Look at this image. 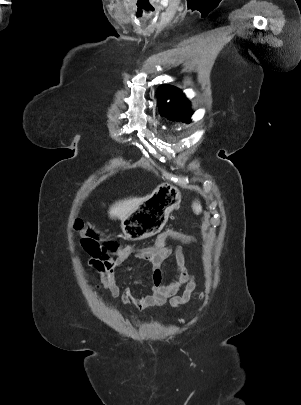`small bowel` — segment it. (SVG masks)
Masks as SVG:
<instances>
[{
	"mask_svg": "<svg viewBox=\"0 0 301 405\" xmlns=\"http://www.w3.org/2000/svg\"><path fill=\"white\" fill-rule=\"evenodd\" d=\"M169 238L172 239V236L162 233L161 237L157 236L152 248L141 249L134 254L137 259L146 261L151 267L152 286L149 292L140 296L135 295L130 288L121 291L115 275V268L122 265L133 254L131 247L123 248L115 258L109 261L96 258L84 249L88 253V263L101 276V284L97 286V289L107 290L112 296L120 297L123 304L133 302L139 310L161 306L167 300L174 308L185 305L194 293L196 282L186 264L182 246H168L166 241ZM172 254L176 257V276L170 283L164 284L161 267ZM182 286H184V291L179 294ZM197 296L202 297L201 294Z\"/></svg>",
	"mask_w": 301,
	"mask_h": 405,
	"instance_id": "1",
	"label": "small bowel"
}]
</instances>
